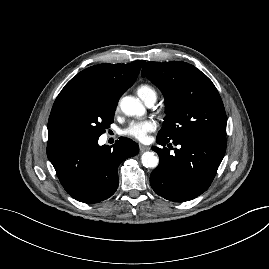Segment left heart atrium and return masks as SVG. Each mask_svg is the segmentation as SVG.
Returning a JSON list of instances; mask_svg holds the SVG:
<instances>
[{
    "label": "left heart atrium",
    "instance_id": "39dd6f15",
    "mask_svg": "<svg viewBox=\"0 0 269 269\" xmlns=\"http://www.w3.org/2000/svg\"><path fill=\"white\" fill-rule=\"evenodd\" d=\"M157 123L153 119H145L132 122L124 131V133L132 138L140 141L147 139L148 134L155 131Z\"/></svg>",
    "mask_w": 269,
    "mask_h": 269
}]
</instances>
